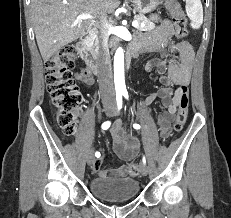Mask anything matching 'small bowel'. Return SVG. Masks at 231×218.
I'll list each match as a JSON object with an SVG mask.
<instances>
[{"mask_svg":"<svg viewBox=\"0 0 231 218\" xmlns=\"http://www.w3.org/2000/svg\"><path fill=\"white\" fill-rule=\"evenodd\" d=\"M154 19L158 20V17L154 16ZM172 37L173 26L168 19H163L160 20L156 29L144 34L140 41L133 46L138 53L160 52L162 54L161 57L150 60L145 69L148 72L156 69L161 75L160 81L165 87L151 93L140 104V107H146L156 99H159L166 107V111L159 115L157 120L162 138H167L171 133V120L178 110L181 89L188 86L190 82L194 61V51L191 45L187 41L175 42L172 40ZM166 49L174 57H179V61L176 59L167 61L164 57ZM76 78L86 85L93 84L92 73L87 69L81 71ZM111 135L114 152L120 159L128 161L137 155L138 145L125 135L120 123L113 125ZM102 158L103 156L100 153V156L92 163L91 169L93 172L100 170ZM126 174V166L100 171L101 176L122 177L126 176Z\"/></svg>","mask_w":231,"mask_h":218,"instance_id":"obj_1","label":"small bowel"}]
</instances>
